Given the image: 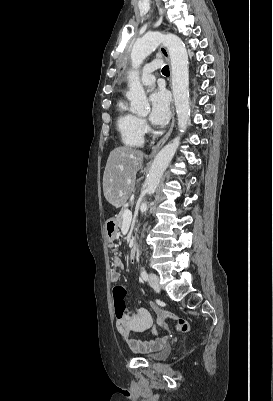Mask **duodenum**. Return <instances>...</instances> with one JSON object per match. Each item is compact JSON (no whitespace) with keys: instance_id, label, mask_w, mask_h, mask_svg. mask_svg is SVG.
Instances as JSON below:
<instances>
[{"instance_id":"1","label":"duodenum","mask_w":273,"mask_h":401,"mask_svg":"<svg viewBox=\"0 0 273 401\" xmlns=\"http://www.w3.org/2000/svg\"><path fill=\"white\" fill-rule=\"evenodd\" d=\"M136 251H137L136 245H135V243H133V244L131 245V247H130V252H129L130 259H131L132 261L135 260V258H136Z\"/></svg>"}]
</instances>
